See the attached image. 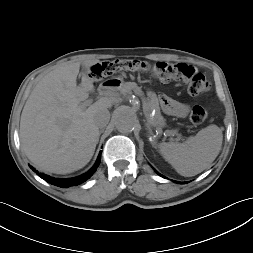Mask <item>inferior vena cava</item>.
Segmentation results:
<instances>
[{
    "label": "inferior vena cava",
    "mask_w": 253,
    "mask_h": 253,
    "mask_svg": "<svg viewBox=\"0 0 253 253\" xmlns=\"http://www.w3.org/2000/svg\"><path fill=\"white\" fill-rule=\"evenodd\" d=\"M109 120H110V113L106 109L100 111L94 118V121L99 128L105 127L108 124Z\"/></svg>",
    "instance_id": "1"
}]
</instances>
